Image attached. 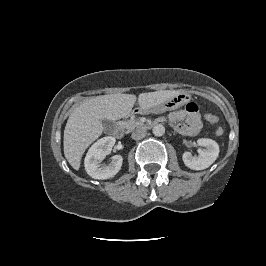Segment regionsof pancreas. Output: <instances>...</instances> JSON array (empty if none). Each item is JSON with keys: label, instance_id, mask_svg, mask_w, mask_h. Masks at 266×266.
<instances>
[{"label": "pancreas", "instance_id": "obj_1", "mask_svg": "<svg viewBox=\"0 0 266 266\" xmlns=\"http://www.w3.org/2000/svg\"><path fill=\"white\" fill-rule=\"evenodd\" d=\"M141 126H143V123L140 122V121H139L138 119H136V118H132V119L128 120V121H127V125H126V127H127V129H128L129 131L135 129L136 127H141Z\"/></svg>", "mask_w": 266, "mask_h": 266}]
</instances>
